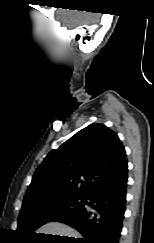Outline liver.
Here are the masks:
<instances>
[{"label":"liver","mask_w":154,"mask_h":243,"mask_svg":"<svg viewBox=\"0 0 154 243\" xmlns=\"http://www.w3.org/2000/svg\"><path fill=\"white\" fill-rule=\"evenodd\" d=\"M36 233L52 234V235L67 236V237H74V238H80L81 236L75 229L71 228L66 224L59 223V222L47 223L42 227H40Z\"/></svg>","instance_id":"1"}]
</instances>
